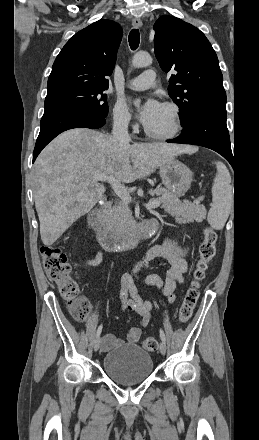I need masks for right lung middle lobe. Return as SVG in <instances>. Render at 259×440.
Masks as SVG:
<instances>
[{"mask_svg":"<svg viewBox=\"0 0 259 440\" xmlns=\"http://www.w3.org/2000/svg\"><path fill=\"white\" fill-rule=\"evenodd\" d=\"M106 89L70 88L47 94L45 111L79 110L105 118L108 114Z\"/></svg>","mask_w":259,"mask_h":440,"instance_id":"1","label":"right lung middle lobe"}]
</instances>
